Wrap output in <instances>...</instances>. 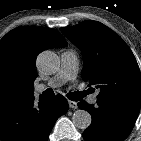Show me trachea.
I'll list each match as a JSON object with an SVG mask.
<instances>
[{
  "instance_id": "3493384b",
  "label": "trachea",
  "mask_w": 141,
  "mask_h": 141,
  "mask_svg": "<svg viewBox=\"0 0 141 141\" xmlns=\"http://www.w3.org/2000/svg\"><path fill=\"white\" fill-rule=\"evenodd\" d=\"M87 93H88L87 91H83V92L77 91V92H73V93L70 92V93L67 94V97H68L70 100H72V101H79V100H81L84 96H86ZM44 95H45L46 97H51V96L54 95V92H53L52 89H47V90L44 92Z\"/></svg>"
}]
</instances>
